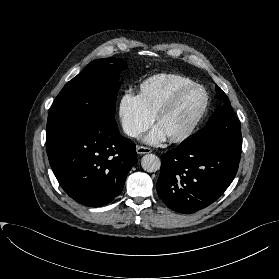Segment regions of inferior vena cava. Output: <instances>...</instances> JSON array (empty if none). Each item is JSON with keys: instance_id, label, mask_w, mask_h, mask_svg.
<instances>
[{"instance_id": "1", "label": "inferior vena cava", "mask_w": 279, "mask_h": 279, "mask_svg": "<svg viewBox=\"0 0 279 279\" xmlns=\"http://www.w3.org/2000/svg\"><path fill=\"white\" fill-rule=\"evenodd\" d=\"M125 132L127 135L131 136V137H137L139 135V131L133 127H128L125 129Z\"/></svg>"}]
</instances>
